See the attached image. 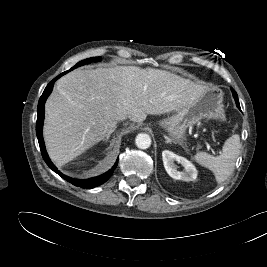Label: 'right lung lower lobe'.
Here are the masks:
<instances>
[{
  "instance_id": "98d812e1",
  "label": "right lung lower lobe",
  "mask_w": 267,
  "mask_h": 267,
  "mask_svg": "<svg viewBox=\"0 0 267 267\" xmlns=\"http://www.w3.org/2000/svg\"><path fill=\"white\" fill-rule=\"evenodd\" d=\"M67 72H64L62 74H60L59 76H57L55 79H53L45 88L42 96L40 97L39 103H38V108H37V122H36V134H37V138L39 141V145H40V149H41V153L43 156V159L45 160V162L47 163V165L54 171L56 172L59 176H61L62 178H64L65 180H67L68 182L72 183L75 186L78 187H82V188H94L96 186H99L101 184H103L104 182H106L111 175L113 174L117 164H118V160L116 161V163L114 164V166L107 171L106 173L94 177V178H89V179H85V180H80V179H73L70 178L68 176H65L64 174H62L60 171L57 170V168L54 166V164L50 161L48 154L46 152L45 149V145H44V140L42 137V128H43V120H44V104L45 101L47 99V97L49 96V94L51 93L52 89H53V85L54 82L61 77L62 75L66 74Z\"/></svg>"
}]
</instances>
